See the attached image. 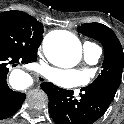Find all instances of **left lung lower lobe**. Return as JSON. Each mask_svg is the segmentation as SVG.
<instances>
[{"instance_id": "obj_1", "label": "left lung lower lobe", "mask_w": 124, "mask_h": 124, "mask_svg": "<svg viewBox=\"0 0 124 124\" xmlns=\"http://www.w3.org/2000/svg\"><path fill=\"white\" fill-rule=\"evenodd\" d=\"M49 99V113L57 124H93L108 109L113 98L103 90L84 87L80 98L73 91L50 82L41 84Z\"/></svg>"}]
</instances>
